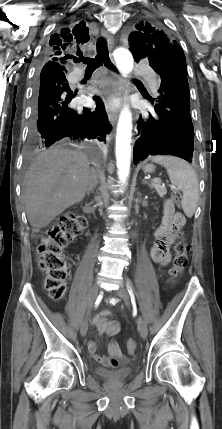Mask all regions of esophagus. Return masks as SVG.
Here are the masks:
<instances>
[{
  "mask_svg": "<svg viewBox=\"0 0 222 429\" xmlns=\"http://www.w3.org/2000/svg\"><path fill=\"white\" fill-rule=\"evenodd\" d=\"M101 36L107 40L108 47L110 50H112L113 46H114V39H113L112 34L103 28L101 30ZM110 81H111L112 93H114L116 96H119L121 94V91H122V79H121V77L119 76L118 73L111 72ZM108 118H109L110 123L114 126L116 121H117V118H118V110L115 108L108 109Z\"/></svg>",
  "mask_w": 222,
  "mask_h": 429,
  "instance_id": "1",
  "label": "esophagus"
}]
</instances>
